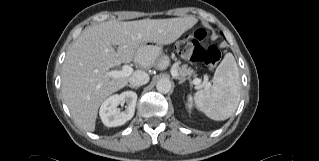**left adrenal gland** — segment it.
Returning a JSON list of instances; mask_svg holds the SVG:
<instances>
[{
    "label": "left adrenal gland",
    "mask_w": 319,
    "mask_h": 161,
    "mask_svg": "<svg viewBox=\"0 0 319 161\" xmlns=\"http://www.w3.org/2000/svg\"><path fill=\"white\" fill-rule=\"evenodd\" d=\"M176 79L180 80V81H179V84H182V83H184V82H185V79H184V78H180V77H178V78H176Z\"/></svg>",
    "instance_id": "1"
}]
</instances>
